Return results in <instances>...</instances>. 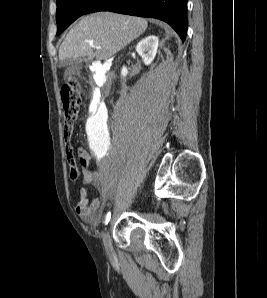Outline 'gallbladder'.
<instances>
[{"mask_svg": "<svg viewBox=\"0 0 267 298\" xmlns=\"http://www.w3.org/2000/svg\"><path fill=\"white\" fill-rule=\"evenodd\" d=\"M74 64H76V62L74 61H71V60H64V61H61V66H73Z\"/></svg>", "mask_w": 267, "mask_h": 298, "instance_id": "bac80fb5", "label": "gallbladder"}]
</instances>
